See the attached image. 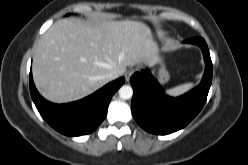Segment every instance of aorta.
<instances>
[{
  "label": "aorta",
  "mask_w": 248,
  "mask_h": 165,
  "mask_svg": "<svg viewBox=\"0 0 248 165\" xmlns=\"http://www.w3.org/2000/svg\"><path fill=\"white\" fill-rule=\"evenodd\" d=\"M132 95H133V89L129 85H123L119 89V96L122 99H130L132 97Z\"/></svg>",
  "instance_id": "obj_1"
}]
</instances>
